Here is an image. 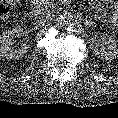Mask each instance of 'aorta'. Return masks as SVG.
Instances as JSON below:
<instances>
[{
  "label": "aorta",
  "mask_w": 118,
  "mask_h": 118,
  "mask_svg": "<svg viewBox=\"0 0 118 118\" xmlns=\"http://www.w3.org/2000/svg\"><path fill=\"white\" fill-rule=\"evenodd\" d=\"M58 25L68 31H76L81 27V22L69 13H64L56 19Z\"/></svg>",
  "instance_id": "obj_1"
}]
</instances>
